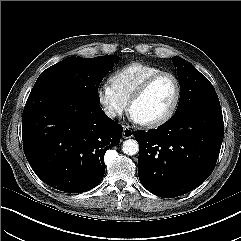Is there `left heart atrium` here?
Instances as JSON below:
<instances>
[{"instance_id": "1", "label": "left heart atrium", "mask_w": 241, "mask_h": 241, "mask_svg": "<svg viewBox=\"0 0 241 241\" xmlns=\"http://www.w3.org/2000/svg\"><path fill=\"white\" fill-rule=\"evenodd\" d=\"M132 119H133L135 122L140 123L133 115H132Z\"/></svg>"}]
</instances>
